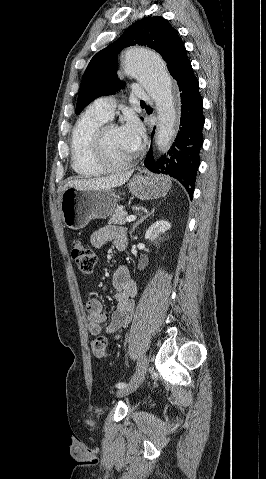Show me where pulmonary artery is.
I'll list each match as a JSON object with an SVG mask.
<instances>
[{
  "mask_svg": "<svg viewBox=\"0 0 266 479\" xmlns=\"http://www.w3.org/2000/svg\"><path fill=\"white\" fill-rule=\"evenodd\" d=\"M133 93L135 98L149 101L152 99L151 94L146 88L139 85H133ZM116 98L114 96H104L96 99L90 106L89 110L100 115L106 120H110L113 117L114 109L116 107Z\"/></svg>",
  "mask_w": 266,
  "mask_h": 479,
  "instance_id": "pulmonary-artery-1",
  "label": "pulmonary artery"
}]
</instances>
